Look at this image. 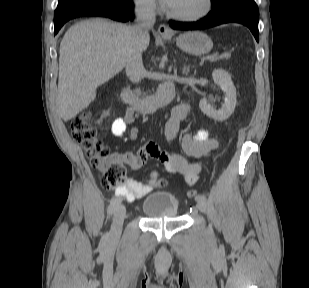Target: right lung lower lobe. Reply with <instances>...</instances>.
<instances>
[{"label":"right lung lower lobe","mask_w":309,"mask_h":288,"mask_svg":"<svg viewBox=\"0 0 309 288\" xmlns=\"http://www.w3.org/2000/svg\"><path fill=\"white\" fill-rule=\"evenodd\" d=\"M132 0H84L69 9L54 15V34L70 19L81 16H103L126 22L131 19Z\"/></svg>","instance_id":"1"}]
</instances>
